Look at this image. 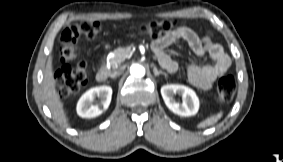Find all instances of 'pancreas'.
Masks as SVG:
<instances>
[{
  "mask_svg": "<svg viewBox=\"0 0 283 162\" xmlns=\"http://www.w3.org/2000/svg\"><path fill=\"white\" fill-rule=\"evenodd\" d=\"M129 50L126 48H117L113 51V56L110 57L109 62L113 69H116L128 57Z\"/></svg>",
  "mask_w": 283,
  "mask_h": 162,
  "instance_id": "1",
  "label": "pancreas"
}]
</instances>
